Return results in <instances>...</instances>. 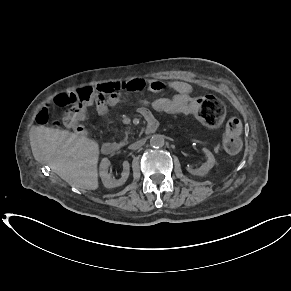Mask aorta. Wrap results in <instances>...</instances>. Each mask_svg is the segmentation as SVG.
<instances>
[{
	"label": "aorta",
	"instance_id": "1",
	"mask_svg": "<svg viewBox=\"0 0 291 291\" xmlns=\"http://www.w3.org/2000/svg\"><path fill=\"white\" fill-rule=\"evenodd\" d=\"M165 139L163 135L154 134L150 139V145L152 147H162L164 146Z\"/></svg>",
	"mask_w": 291,
	"mask_h": 291
}]
</instances>
